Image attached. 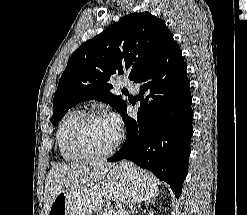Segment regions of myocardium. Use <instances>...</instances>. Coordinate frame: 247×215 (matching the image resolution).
Segmentation results:
<instances>
[{
	"mask_svg": "<svg viewBox=\"0 0 247 215\" xmlns=\"http://www.w3.org/2000/svg\"><path fill=\"white\" fill-rule=\"evenodd\" d=\"M105 118L104 115L100 112L92 111L88 113L81 114L75 123L72 126L71 133H70V142L72 150L76 155H78L81 159L87 161H101L109 158L112 156L115 151L118 149L121 143V134L118 133L116 140L112 144V146L101 153H93L87 150L83 144L82 140V130L85 124L92 120L102 119Z\"/></svg>",
	"mask_w": 247,
	"mask_h": 215,
	"instance_id": "1",
	"label": "myocardium"
}]
</instances>
